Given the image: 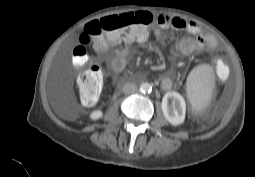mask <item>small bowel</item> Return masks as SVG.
<instances>
[{"label": "small bowel", "instance_id": "small-bowel-1", "mask_svg": "<svg viewBox=\"0 0 255 177\" xmlns=\"http://www.w3.org/2000/svg\"><path fill=\"white\" fill-rule=\"evenodd\" d=\"M164 21L163 27H171L178 31H184L191 35L193 38H183L181 39L176 47L178 51L184 55L198 53L206 49L213 50L216 47V39L213 36L204 33L203 29L196 22L183 19L180 17H173L169 15H160ZM149 39L148 32L138 39L137 42L143 43ZM100 50H105V47L100 48ZM128 46L127 44L120 45L115 49L114 57L110 62V68L114 73H120L126 66L127 56H128ZM217 72H223L225 70L224 66L220 63L216 64ZM173 86L172 79L168 76L164 77L161 81V87L164 90H169Z\"/></svg>", "mask_w": 255, "mask_h": 177}]
</instances>
